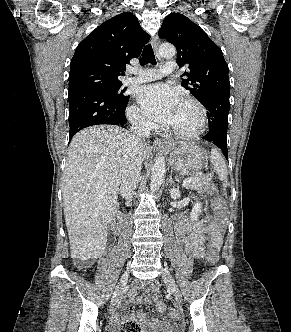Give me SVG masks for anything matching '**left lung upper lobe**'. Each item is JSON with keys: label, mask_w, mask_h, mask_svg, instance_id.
Here are the masks:
<instances>
[{"label": "left lung upper lobe", "mask_w": 291, "mask_h": 332, "mask_svg": "<svg viewBox=\"0 0 291 332\" xmlns=\"http://www.w3.org/2000/svg\"><path fill=\"white\" fill-rule=\"evenodd\" d=\"M159 36L177 48L179 67L187 66L181 85L203 105L217 97L229 98L228 65L221 49L189 18L180 13L165 17Z\"/></svg>", "instance_id": "obj_1"}]
</instances>
